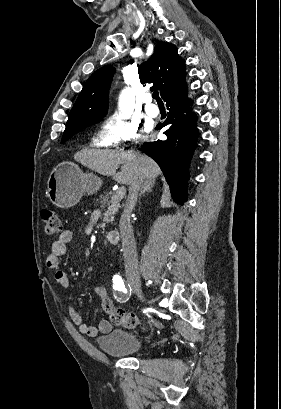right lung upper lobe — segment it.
Listing matches in <instances>:
<instances>
[{"label":"right lung upper lobe","mask_w":281,"mask_h":409,"mask_svg":"<svg viewBox=\"0 0 281 409\" xmlns=\"http://www.w3.org/2000/svg\"><path fill=\"white\" fill-rule=\"evenodd\" d=\"M185 64L178 56L177 48L167 42H159L151 58L138 68L140 82L154 83L165 100L185 78ZM115 69L104 66L95 71L86 81L76 103L71 109L67 127H80L105 116L109 85Z\"/></svg>","instance_id":"1"}]
</instances>
